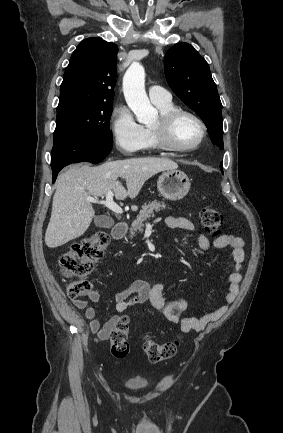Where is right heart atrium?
Wrapping results in <instances>:
<instances>
[{
    "instance_id": "right-heart-atrium-1",
    "label": "right heart atrium",
    "mask_w": 283,
    "mask_h": 433,
    "mask_svg": "<svg viewBox=\"0 0 283 433\" xmlns=\"http://www.w3.org/2000/svg\"><path fill=\"white\" fill-rule=\"evenodd\" d=\"M113 145L123 155H136L141 145L151 143L147 130L138 124L133 113L124 106L116 105L109 118Z\"/></svg>"
}]
</instances>
